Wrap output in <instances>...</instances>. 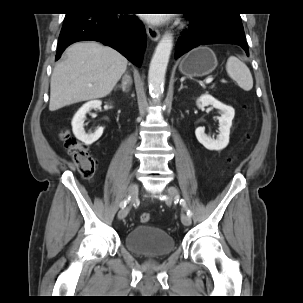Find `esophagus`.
<instances>
[{
	"label": "esophagus",
	"mask_w": 303,
	"mask_h": 303,
	"mask_svg": "<svg viewBox=\"0 0 303 303\" xmlns=\"http://www.w3.org/2000/svg\"><path fill=\"white\" fill-rule=\"evenodd\" d=\"M146 32H147V35L149 36V38L151 40L158 41L160 39L161 35H160L159 30L156 27H154L150 24H147L146 25Z\"/></svg>",
	"instance_id": "1"
}]
</instances>
